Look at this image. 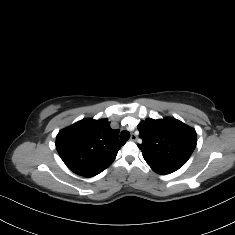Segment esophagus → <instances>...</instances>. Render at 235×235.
<instances>
[{
  "label": "esophagus",
  "mask_w": 235,
  "mask_h": 235,
  "mask_svg": "<svg viewBox=\"0 0 235 235\" xmlns=\"http://www.w3.org/2000/svg\"><path fill=\"white\" fill-rule=\"evenodd\" d=\"M137 139H138L137 135L134 134V133H132V134H131V137H130V140H131V141H137Z\"/></svg>",
  "instance_id": "obj_1"
}]
</instances>
